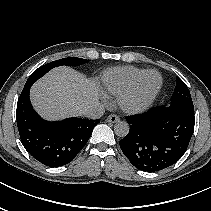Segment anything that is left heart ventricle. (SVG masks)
I'll return each instance as SVG.
<instances>
[{
    "instance_id": "left-heart-ventricle-1",
    "label": "left heart ventricle",
    "mask_w": 211,
    "mask_h": 211,
    "mask_svg": "<svg viewBox=\"0 0 211 211\" xmlns=\"http://www.w3.org/2000/svg\"><path fill=\"white\" fill-rule=\"evenodd\" d=\"M159 83L160 78L157 74L148 75L141 86L139 99L142 100L149 96L158 87Z\"/></svg>"
}]
</instances>
